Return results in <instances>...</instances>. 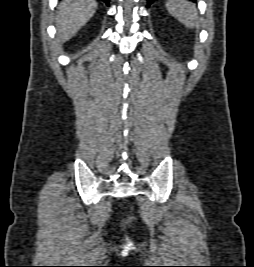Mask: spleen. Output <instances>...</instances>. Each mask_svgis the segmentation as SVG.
<instances>
[{
  "mask_svg": "<svg viewBox=\"0 0 254 267\" xmlns=\"http://www.w3.org/2000/svg\"><path fill=\"white\" fill-rule=\"evenodd\" d=\"M166 9L185 26L190 28L198 26V11L192 2L187 0H168Z\"/></svg>",
  "mask_w": 254,
  "mask_h": 267,
  "instance_id": "1",
  "label": "spleen"
}]
</instances>
